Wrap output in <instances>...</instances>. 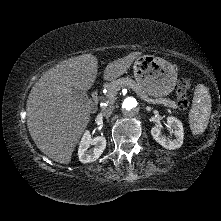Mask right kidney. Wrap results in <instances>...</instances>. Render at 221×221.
I'll list each match as a JSON object with an SVG mask.
<instances>
[{"label": "right kidney", "instance_id": "ca27d5eb", "mask_svg": "<svg viewBox=\"0 0 221 221\" xmlns=\"http://www.w3.org/2000/svg\"><path fill=\"white\" fill-rule=\"evenodd\" d=\"M91 145H94L93 149H89ZM106 148V138L103 136H97L91 138L90 132L86 131L81 139L78 157L82 163H91L97 160L104 149Z\"/></svg>", "mask_w": 221, "mask_h": 221}]
</instances>
